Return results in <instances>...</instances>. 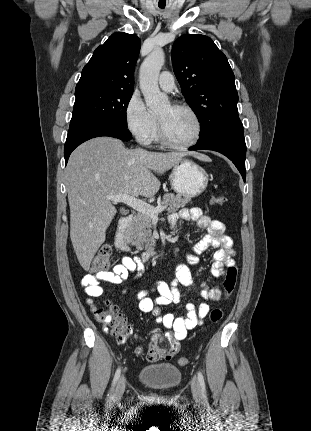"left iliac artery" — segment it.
I'll use <instances>...</instances> for the list:
<instances>
[{"instance_id": "44dca946", "label": "left iliac artery", "mask_w": 311, "mask_h": 431, "mask_svg": "<svg viewBox=\"0 0 311 431\" xmlns=\"http://www.w3.org/2000/svg\"><path fill=\"white\" fill-rule=\"evenodd\" d=\"M198 380L200 383L202 396H203L204 400H206V388H205L204 377L200 371L198 372Z\"/></svg>"}]
</instances>
